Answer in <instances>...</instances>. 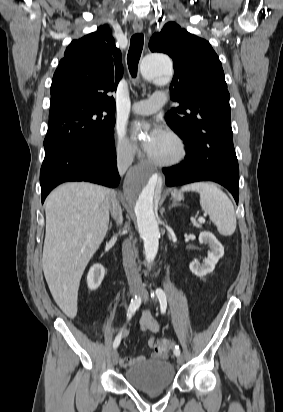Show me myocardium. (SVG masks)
<instances>
[{
	"label": "myocardium",
	"mask_w": 283,
	"mask_h": 412,
	"mask_svg": "<svg viewBox=\"0 0 283 412\" xmlns=\"http://www.w3.org/2000/svg\"><path fill=\"white\" fill-rule=\"evenodd\" d=\"M165 133L169 135L177 144V148H178L177 155L174 158L167 160V161L155 159L149 153L147 157H148V160L156 166L173 167V166L180 164L185 159L187 155V147H186V144L183 138L175 131L167 129Z\"/></svg>",
	"instance_id": "myocardium-1"
}]
</instances>
